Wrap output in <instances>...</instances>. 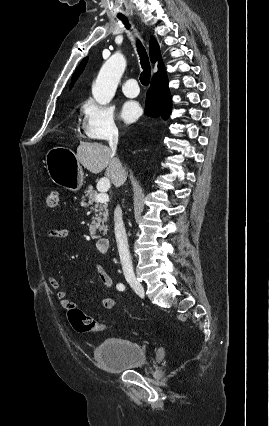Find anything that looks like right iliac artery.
Masks as SVG:
<instances>
[{
    "label": "right iliac artery",
    "mask_w": 269,
    "mask_h": 426,
    "mask_svg": "<svg viewBox=\"0 0 269 426\" xmlns=\"http://www.w3.org/2000/svg\"><path fill=\"white\" fill-rule=\"evenodd\" d=\"M124 288H125V287H124V285H123V284H118V285H117V289H119V290H120V289H121V290H123Z\"/></svg>",
    "instance_id": "obj_1"
}]
</instances>
